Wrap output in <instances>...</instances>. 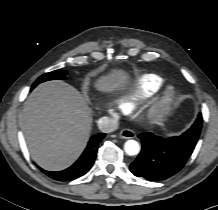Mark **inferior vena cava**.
<instances>
[{
    "mask_svg": "<svg viewBox=\"0 0 218 210\" xmlns=\"http://www.w3.org/2000/svg\"><path fill=\"white\" fill-rule=\"evenodd\" d=\"M98 128L103 133H111L118 129V121L109 117H102L98 120Z\"/></svg>",
    "mask_w": 218,
    "mask_h": 210,
    "instance_id": "602c4592",
    "label": "inferior vena cava"
}]
</instances>
